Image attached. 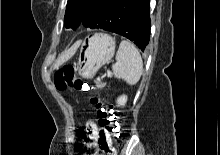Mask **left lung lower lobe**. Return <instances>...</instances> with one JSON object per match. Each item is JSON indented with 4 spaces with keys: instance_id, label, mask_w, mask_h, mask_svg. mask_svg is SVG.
<instances>
[{
    "instance_id": "1",
    "label": "left lung lower lobe",
    "mask_w": 220,
    "mask_h": 155,
    "mask_svg": "<svg viewBox=\"0 0 220 155\" xmlns=\"http://www.w3.org/2000/svg\"><path fill=\"white\" fill-rule=\"evenodd\" d=\"M149 2L98 0L80 24L91 29H103L122 35L144 51L150 39Z\"/></svg>"
}]
</instances>
